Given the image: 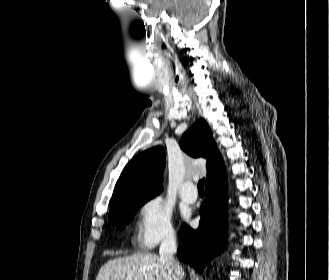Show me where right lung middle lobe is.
<instances>
[{
  "instance_id": "1",
  "label": "right lung middle lobe",
  "mask_w": 329,
  "mask_h": 280,
  "mask_svg": "<svg viewBox=\"0 0 329 280\" xmlns=\"http://www.w3.org/2000/svg\"><path fill=\"white\" fill-rule=\"evenodd\" d=\"M153 197L126 201L109 213V223L123 229L133 218L136 210Z\"/></svg>"
}]
</instances>
